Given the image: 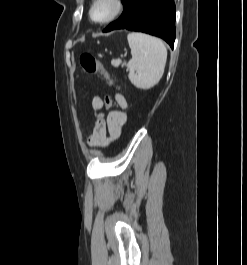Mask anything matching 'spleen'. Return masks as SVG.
<instances>
[{
  "label": "spleen",
  "mask_w": 247,
  "mask_h": 265,
  "mask_svg": "<svg viewBox=\"0 0 247 265\" xmlns=\"http://www.w3.org/2000/svg\"><path fill=\"white\" fill-rule=\"evenodd\" d=\"M132 58L126 64L131 83L143 90L154 87L161 79L167 60V50L162 40L139 32L127 36ZM117 67L120 59L112 60Z\"/></svg>",
  "instance_id": "spleen-1"
}]
</instances>
